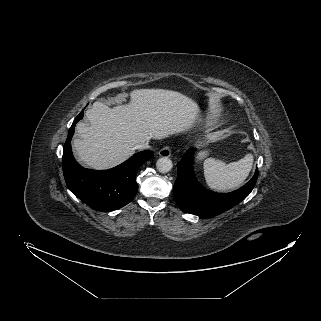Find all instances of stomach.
I'll use <instances>...</instances> for the list:
<instances>
[{
	"mask_svg": "<svg viewBox=\"0 0 321 321\" xmlns=\"http://www.w3.org/2000/svg\"><path fill=\"white\" fill-rule=\"evenodd\" d=\"M208 155V151H200L197 154V159L198 160H202L203 158H205Z\"/></svg>",
	"mask_w": 321,
	"mask_h": 321,
	"instance_id": "obj_1",
	"label": "stomach"
}]
</instances>
